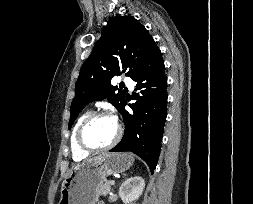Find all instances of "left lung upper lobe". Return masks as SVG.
I'll return each mask as SVG.
<instances>
[{
    "label": "left lung upper lobe",
    "mask_w": 253,
    "mask_h": 204,
    "mask_svg": "<svg viewBox=\"0 0 253 204\" xmlns=\"http://www.w3.org/2000/svg\"><path fill=\"white\" fill-rule=\"evenodd\" d=\"M155 44L146 28L134 17L111 18L81 67L71 104L69 129L90 101L107 98L120 111L125 91L115 93L118 88L111 85V79L121 73L135 77Z\"/></svg>",
    "instance_id": "5c2ea615"
}]
</instances>
